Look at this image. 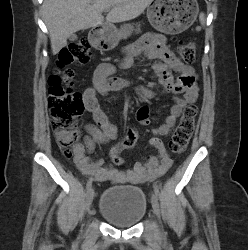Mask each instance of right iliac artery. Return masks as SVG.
Masks as SVG:
<instances>
[{"instance_id": "1", "label": "right iliac artery", "mask_w": 248, "mask_h": 250, "mask_svg": "<svg viewBox=\"0 0 248 250\" xmlns=\"http://www.w3.org/2000/svg\"><path fill=\"white\" fill-rule=\"evenodd\" d=\"M91 186H92V178H89L86 184V190L88 191L89 188H91Z\"/></svg>"}]
</instances>
